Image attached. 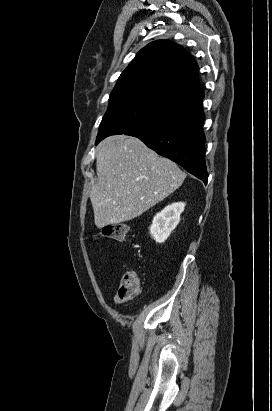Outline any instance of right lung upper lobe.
<instances>
[{
    "instance_id": "1",
    "label": "right lung upper lobe",
    "mask_w": 272,
    "mask_h": 411,
    "mask_svg": "<svg viewBox=\"0 0 272 411\" xmlns=\"http://www.w3.org/2000/svg\"><path fill=\"white\" fill-rule=\"evenodd\" d=\"M145 91L183 107L203 99L198 65L181 46L157 40L142 48L120 75L113 92Z\"/></svg>"
}]
</instances>
